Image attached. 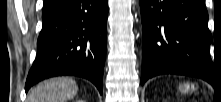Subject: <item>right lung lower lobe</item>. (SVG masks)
I'll return each instance as SVG.
<instances>
[{
	"mask_svg": "<svg viewBox=\"0 0 221 102\" xmlns=\"http://www.w3.org/2000/svg\"><path fill=\"white\" fill-rule=\"evenodd\" d=\"M108 0H59L43 11L37 55L25 91L54 76L90 80L102 94Z\"/></svg>",
	"mask_w": 221,
	"mask_h": 102,
	"instance_id": "right-lung-lower-lobe-1",
	"label": "right lung lower lobe"
}]
</instances>
